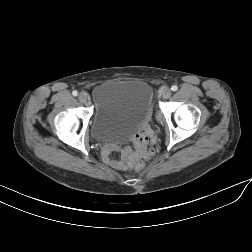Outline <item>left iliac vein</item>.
Wrapping results in <instances>:
<instances>
[{"label": "left iliac vein", "instance_id": "1", "mask_svg": "<svg viewBox=\"0 0 252 252\" xmlns=\"http://www.w3.org/2000/svg\"><path fill=\"white\" fill-rule=\"evenodd\" d=\"M171 94H172V91L169 88H166L163 90L161 95H162V98L168 99L171 96Z\"/></svg>", "mask_w": 252, "mask_h": 252}]
</instances>
